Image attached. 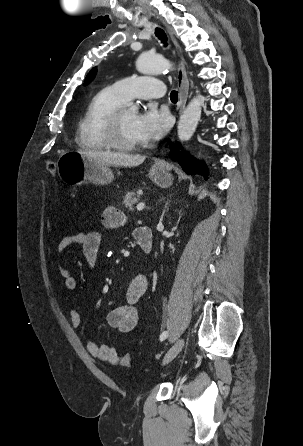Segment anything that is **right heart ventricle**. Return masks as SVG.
Segmentation results:
<instances>
[{"label":"right heart ventricle","instance_id":"obj_1","mask_svg":"<svg viewBox=\"0 0 303 446\" xmlns=\"http://www.w3.org/2000/svg\"><path fill=\"white\" fill-rule=\"evenodd\" d=\"M113 86L100 90L89 102L76 132V143L85 150H106L105 126L111 113L125 104Z\"/></svg>","mask_w":303,"mask_h":446}]
</instances>
